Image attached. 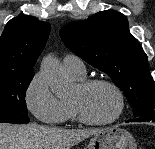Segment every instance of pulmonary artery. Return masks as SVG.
<instances>
[{
    "instance_id": "1",
    "label": "pulmonary artery",
    "mask_w": 155,
    "mask_h": 149,
    "mask_svg": "<svg viewBox=\"0 0 155 149\" xmlns=\"http://www.w3.org/2000/svg\"><path fill=\"white\" fill-rule=\"evenodd\" d=\"M63 69L70 75L76 77H84L86 69L83 60L74 54H68L62 61Z\"/></svg>"
}]
</instances>
